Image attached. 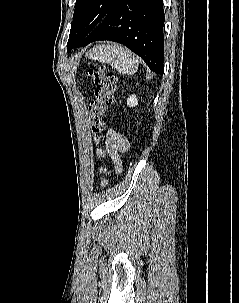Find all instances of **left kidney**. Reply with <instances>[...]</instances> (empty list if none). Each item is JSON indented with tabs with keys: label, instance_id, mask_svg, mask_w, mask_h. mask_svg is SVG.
Masks as SVG:
<instances>
[{
	"label": "left kidney",
	"instance_id": "5707ae66",
	"mask_svg": "<svg viewBox=\"0 0 239 303\" xmlns=\"http://www.w3.org/2000/svg\"><path fill=\"white\" fill-rule=\"evenodd\" d=\"M127 105L129 107H135L138 105V99H137L136 95L133 94L127 98Z\"/></svg>",
	"mask_w": 239,
	"mask_h": 303
}]
</instances>
